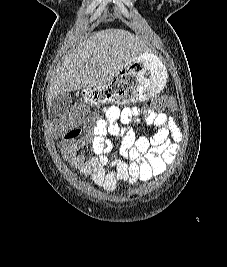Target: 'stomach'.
<instances>
[{
  "label": "stomach",
  "instance_id": "1",
  "mask_svg": "<svg viewBox=\"0 0 227 267\" xmlns=\"http://www.w3.org/2000/svg\"><path fill=\"white\" fill-rule=\"evenodd\" d=\"M168 73L162 61L153 53L143 52L129 61L106 87L87 88L84 102L103 106L107 103L119 105L136 104L165 87Z\"/></svg>",
  "mask_w": 227,
  "mask_h": 267
}]
</instances>
